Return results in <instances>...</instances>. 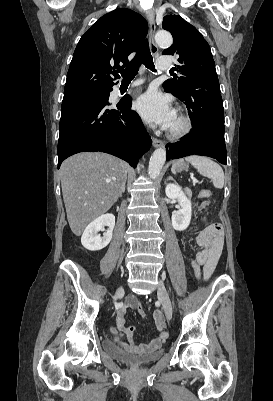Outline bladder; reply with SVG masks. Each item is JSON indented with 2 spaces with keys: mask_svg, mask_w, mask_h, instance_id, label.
<instances>
[{
  "mask_svg": "<svg viewBox=\"0 0 273 401\" xmlns=\"http://www.w3.org/2000/svg\"><path fill=\"white\" fill-rule=\"evenodd\" d=\"M103 350L111 358L133 367L150 364L159 359L163 354L162 347H157L143 354H130L124 350L114 338L110 337L104 339Z\"/></svg>",
  "mask_w": 273,
  "mask_h": 401,
  "instance_id": "bladder-1",
  "label": "bladder"
}]
</instances>
